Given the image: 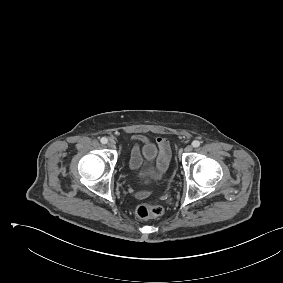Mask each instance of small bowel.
I'll return each mask as SVG.
<instances>
[{"label":"small bowel","instance_id":"1","mask_svg":"<svg viewBox=\"0 0 283 283\" xmlns=\"http://www.w3.org/2000/svg\"><path fill=\"white\" fill-rule=\"evenodd\" d=\"M147 139L143 137H138L135 141L130 166L132 169H137L143 162L142 158V148L141 144L146 143ZM156 147H157V155H156V163L154 159L146 160L144 166V181L146 183H150L152 181L157 180L168 168L170 163V146L168 141L165 138H157L156 139ZM155 165V173L154 175L150 174L151 169ZM146 192H141L139 194L140 197H143Z\"/></svg>","mask_w":283,"mask_h":283}]
</instances>
